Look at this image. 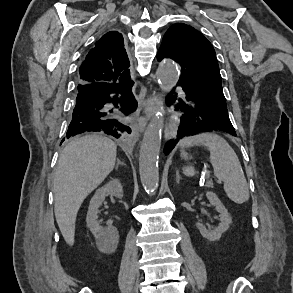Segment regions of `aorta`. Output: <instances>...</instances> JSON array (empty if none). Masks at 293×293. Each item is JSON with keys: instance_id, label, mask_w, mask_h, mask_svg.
I'll return each instance as SVG.
<instances>
[{"instance_id": "obj_1", "label": "aorta", "mask_w": 293, "mask_h": 293, "mask_svg": "<svg viewBox=\"0 0 293 293\" xmlns=\"http://www.w3.org/2000/svg\"><path fill=\"white\" fill-rule=\"evenodd\" d=\"M157 77L163 91H171L179 79V70L174 61L163 60L157 69ZM163 126V114L158 113L149 123L140 147V179L143 188L150 194L155 193L159 185L158 159Z\"/></svg>"}]
</instances>
